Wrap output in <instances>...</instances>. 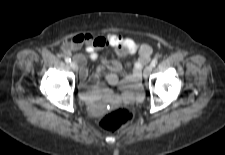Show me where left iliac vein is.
Listing matches in <instances>:
<instances>
[{
	"instance_id": "left-iliac-vein-1",
	"label": "left iliac vein",
	"mask_w": 225,
	"mask_h": 155,
	"mask_svg": "<svg viewBox=\"0 0 225 155\" xmlns=\"http://www.w3.org/2000/svg\"><path fill=\"white\" fill-rule=\"evenodd\" d=\"M153 67L151 65H148L143 72V77L144 78H148V76L150 75V73L152 72Z\"/></svg>"
}]
</instances>
